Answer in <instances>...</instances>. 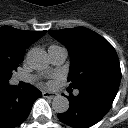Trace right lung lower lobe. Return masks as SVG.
I'll list each match as a JSON object with an SVG mask.
<instances>
[{
	"label": "right lung lower lobe",
	"mask_w": 128,
	"mask_h": 128,
	"mask_svg": "<svg viewBox=\"0 0 128 128\" xmlns=\"http://www.w3.org/2000/svg\"><path fill=\"white\" fill-rule=\"evenodd\" d=\"M41 96L30 84L21 90L8 83L0 85V128H14L24 122L34 101Z\"/></svg>",
	"instance_id": "1"
}]
</instances>
